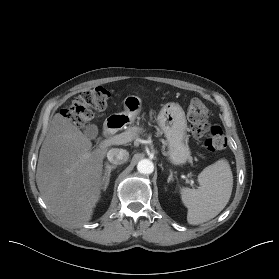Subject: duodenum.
I'll return each instance as SVG.
<instances>
[{
	"mask_svg": "<svg viewBox=\"0 0 279 279\" xmlns=\"http://www.w3.org/2000/svg\"><path fill=\"white\" fill-rule=\"evenodd\" d=\"M123 121L120 117L109 118L104 126L103 133L107 136L114 134L121 126Z\"/></svg>",
	"mask_w": 279,
	"mask_h": 279,
	"instance_id": "1",
	"label": "duodenum"
}]
</instances>
